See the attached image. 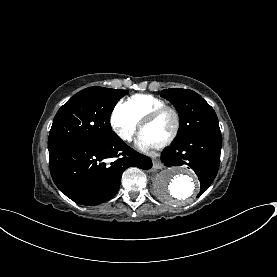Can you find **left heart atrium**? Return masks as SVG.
I'll list each match as a JSON object with an SVG mask.
<instances>
[{"label": "left heart atrium", "instance_id": "1", "mask_svg": "<svg viewBox=\"0 0 277 277\" xmlns=\"http://www.w3.org/2000/svg\"><path fill=\"white\" fill-rule=\"evenodd\" d=\"M136 144L142 150H147L158 146V143L153 141L143 131L139 134Z\"/></svg>", "mask_w": 277, "mask_h": 277}]
</instances>
